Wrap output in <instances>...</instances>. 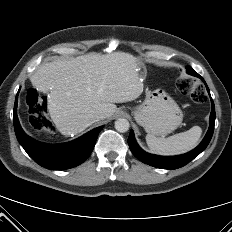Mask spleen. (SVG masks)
I'll return each mask as SVG.
<instances>
[{"label": "spleen", "mask_w": 232, "mask_h": 232, "mask_svg": "<svg viewBox=\"0 0 232 232\" xmlns=\"http://www.w3.org/2000/svg\"><path fill=\"white\" fill-rule=\"evenodd\" d=\"M202 134L199 126H193L186 132L178 133L168 138L147 134L146 142L149 149L160 155H179L196 147Z\"/></svg>", "instance_id": "obj_1"}]
</instances>
